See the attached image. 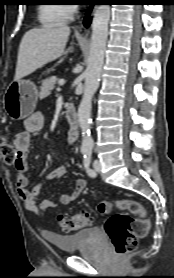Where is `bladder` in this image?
Segmentation results:
<instances>
[{
	"mask_svg": "<svg viewBox=\"0 0 174 278\" xmlns=\"http://www.w3.org/2000/svg\"><path fill=\"white\" fill-rule=\"evenodd\" d=\"M99 236V229L92 227L69 235L49 234L47 238L59 250L71 253L88 247L98 240Z\"/></svg>",
	"mask_w": 174,
	"mask_h": 278,
	"instance_id": "bladder-1",
	"label": "bladder"
}]
</instances>
